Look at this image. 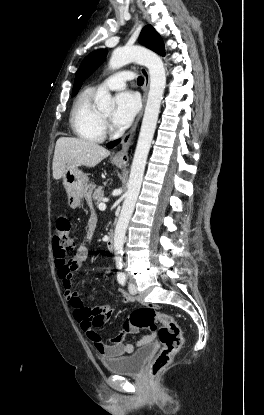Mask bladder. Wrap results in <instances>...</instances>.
Returning a JSON list of instances; mask_svg holds the SVG:
<instances>
[{
  "label": "bladder",
  "instance_id": "31cf9c89",
  "mask_svg": "<svg viewBox=\"0 0 264 415\" xmlns=\"http://www.w3.org/2000/svg\"><path fill=\"white\" fill-rule=\"evenodd\" d=\"M154 351L155 344L151 342L139 347L130 355L103 359L102 363L108 372L137 375L142 371L147 358Z\"/></svg>",
  "mask_w": 264,
  "mask_h": 415
}]
</instances>
